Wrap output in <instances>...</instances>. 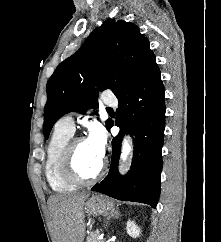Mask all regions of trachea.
<instances>
[{
    "label": "trachea",
    "mask_w": 221,
    "mask_h": 242,
    "mask_svg": "<svg viewBox=\"0 0 221 242\" xmlns=\"http://www.w3.org/2000/svg\"><path fill=\"white\" fill-rule=\"evenodd\" d=\"M107 112H113L112 108H107Z\"/></svg>",
    "instance_id": "trachea-1"
}]
</instances>
